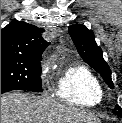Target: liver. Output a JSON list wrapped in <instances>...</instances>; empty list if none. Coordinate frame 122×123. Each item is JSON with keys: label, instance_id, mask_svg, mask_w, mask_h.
I'll return each mask as SVG.
<instances>
[{"label": "liver", "instance_id": "1", "mask_svg": "<svg viewBox=\"0 0 122 123\" xmlns=\"http://www.w3.org/2000/svg\"><path fill=\"white\" fill-rule=\"evenodd\" d=\"M1 123H101L91 112L30 93L1 97Z\"/></svg>", "mask_w": 122, "mask_h": 123}]
</instances>
